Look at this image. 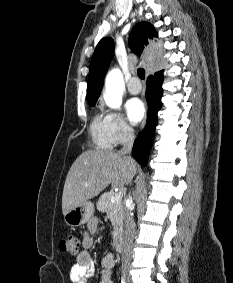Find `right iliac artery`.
Segmentation results:
<instances>
[{"instance_id":"1","label":"right iliac artery","mask_w":233,"mask_h":283,"mask_svg":"<svg viewBox=\"0 0 233 283\" xmlns=\"http://www.w3.org/2000/svg\"><path fill=\"white\" fill-rule=\"evenodd\" d=\"M121 283H125V280H124V278H122V279H121Z\"/></svg>"}]
</instances>
